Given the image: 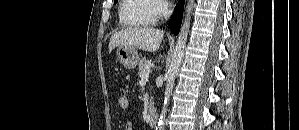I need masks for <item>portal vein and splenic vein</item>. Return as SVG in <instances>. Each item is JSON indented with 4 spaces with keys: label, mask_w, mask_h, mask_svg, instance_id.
I'll list each match as a JSON object with an SVG mask.
<instances>
[{
    "label": "portal vein and splenic vein",
    "mask_w": 299,
    "mask_h": 130,
    "mask_svg": "<svg viewBox=\"0 0 299 130\" xmlns=\"http://www.w3.org/2000/svg\"><path fill=\"white\" fill-rule=\"evenodd\" d=\"M148 78H149V72H146V73H144V74L141 75L140 81L141 82H147Z\"/></svg>",
    "instance_id": "1"
}]
</instances>
